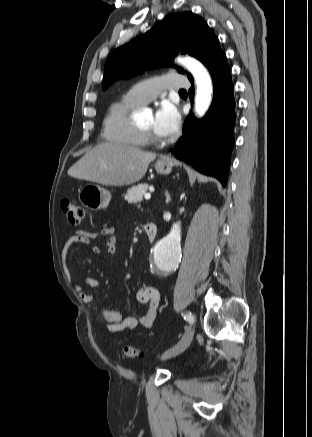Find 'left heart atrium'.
Returning <instances> with one entry per match:
<instances>
[{
    "mask_svg": "<svg viewBox=\"0 0 312 437\" xmlns=\"http://www.w3.org/2000/svg\"><path fill=\"white\" fill-rule=\"evenodd\" d=\"M180 125V114L170 102H163L154 115L153 129L162 137L174 135Z\"/></svg>",
    "mask_w": 312,
    "mask_h": 437,
    "instance_id": "1",
    "label": "left heart atrium"
}]
</instances>
